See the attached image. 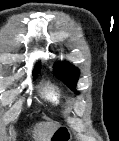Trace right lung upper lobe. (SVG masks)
I'll return each mask as SVG.
<instances>
[{"mask_svg":"<svg viewBox=\"0 0 119 141\" xmlns=\"http://www.w3.org/2000/svg\"><path fill=\"white\" fill-rule=\"evenodd\" d=\"M39 70H40V66L37 65L35 72H37V71H39Z\"/></svg>","mask_w":119,"mask_h":141,"instance_id":"cb5924a9","label":"right lung upper lobe"}]
</instances>
